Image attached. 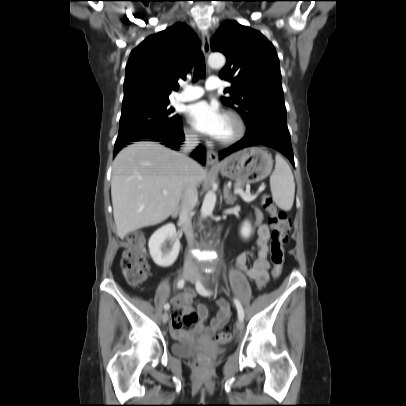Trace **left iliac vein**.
Wrapping results in <instances>:
<instances>
[{"label":"left iliac vein","instance_id":"obj_1","mask_svg":"<svg viewBox=\"0 0 406 406\" xmlns=\"http://www.w3.org/2000/svg\"><path fill=\"white\" fill-rule=\"evenodd\" d=\"M204 280V278L201 276V274L200 273H198V272H196V273H194L193 274V277L190 279V281L191 282H201V281H203ZM236 328H237V330H243V328H244V323H243V321L242 320H238L237 322H236Z\"/></svg>","mask_w":406,"mask_h":406}]
</instances>
